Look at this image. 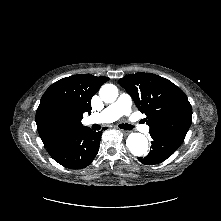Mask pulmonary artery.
<instances>
[{
    "mask_svg": "<svg viewBox=\"0 0 221 221\" xmlns=\"http://www.w3.org/2000/svg\"><path fill=\"white\" fill-rule=\"evenodd\" d=\"M132 106V99L130 95L123 93L119 98L102 112L96 115V119L99 122L108 123L113 122L123 115H127Z\"/></svg>",
    "mask_w": 221,
    "mask_h": 221,
    "instance_id": "1",
    "label": "pulmonary artery"
}]
</instances>
